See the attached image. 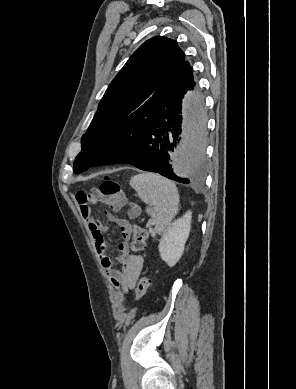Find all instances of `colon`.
<instances>
[{"label": "colon", "mask_w": 296, "mask_h": 389, "mask_svg": "<svg viewBox=\"0 0 296 389\" xmlns=\"http://www.w3.org/2000/svg\"><path fill=\"white\" fill-rule=\"evenodd\" d=\"M99 197L102 201L109 204L111 207L117 206L123 201V194L118 182L105 177L99 187ZM148 237L147 230L141 225H135L132 231L131 248L135 252L142 251L145 248L146 240ZM151 279L149 276H143L138 283L136 290V299L142 300L146 292L151 286Z\"/></svg>", "instance_id": "1"}]
</instances>
